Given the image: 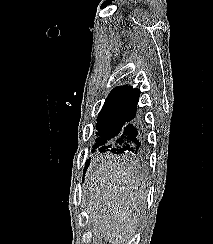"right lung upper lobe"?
<instances>
[{"instance_id": "1", "label": "right lung upper lobe", "mask_w": 213, "mask_h": 244, "mask_svg": "<svg viewBox=\"0 0 213 244\" xmlns=\"http://www.w3.org/2000/svg\"><path fill=\"white\" fill-rule=\"evenodd\" d=\"M139 95H140V90L137 88H133L130 85H123V86H118L116 88H114L108 98H112V97H131L134 99H139Z\"/></svg>"}]
</instances>
